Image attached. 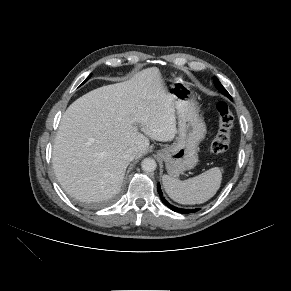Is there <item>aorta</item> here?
Returning <instances> with one entry per match:
<instances>
[{
	"instance_id": "aorta-1",
	"label": "aorta",
	"mask_w": 291,
	"mask_h": 291,
	"mask_svg": "<svg viewBox=\"0 0 291 291\" xmlns=\"http://www.w3.org/2000/svg\"><path fill=\"white\" fill-rule=\"evenodd\" d=\"M141 167L145 172H152L156 169L157 164L154 159L145 158L141 163Z\"/></svg>"
}]
</instances>
